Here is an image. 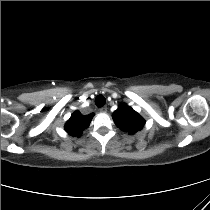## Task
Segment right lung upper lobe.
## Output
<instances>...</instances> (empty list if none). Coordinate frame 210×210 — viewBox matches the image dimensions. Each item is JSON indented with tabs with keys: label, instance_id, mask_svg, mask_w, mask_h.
Returning a JSON list of instances; mask_svg holds the SVG:
<instances>
[{
	"label": "right lung upper lobe",
	"instance_id": "1",
	"mask_svg": "<svg viewBox=\"0 0 210 210\" xmlns=\"http://www.w3.org/2000/svg\"><path fill=\"white\" fill-rule=\"evenodd\" d=\"M94 115H82L79 111H75L65 125V130L71 136H81L83 130L87 128Z\"/></svg>",
	"mask_w": 210,
	"mask_h": 210
}]
</instances>
